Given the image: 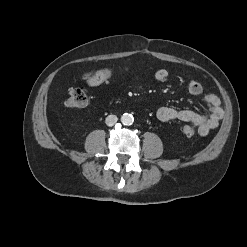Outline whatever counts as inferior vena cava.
Returning a JSON list of instances; mask_svg holds the SVG:
<instances>
[{
  "mask_svg": "<svg viewBox=\"0 0 247 247\" xmlns=\"http://www.w3.org/2000/svg\"><path fill=\"white\" fill-rule=\"evenodd\" d=\"M117 121H118V118L116 115H108L105 120L106 125L108 126H113Z\"/></svg>",
  "mask_w": 247,
  "mask_h": 247,
  "instance_id": "602c4592",
  "label": "inferior vena cava"
}]
</instances>
